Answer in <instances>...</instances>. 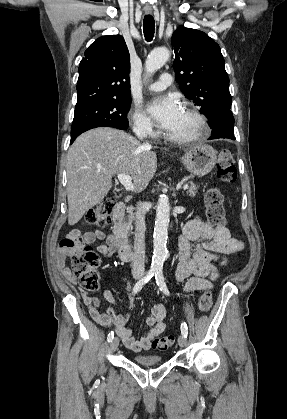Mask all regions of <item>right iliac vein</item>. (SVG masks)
<instances>
[{"instance_id": "right-iliac-vein-1", "label": "right iliac vein", "mask_w": 287, "mask_h": 419, "mask_svg": "<svg viewBox=\"0 0 287 419\" xmlns=\"http://www.w3.org/2000/svg\"><path fill=\"white\" fill-rule=\"evenodd\" d=\"M119 345V339L118 337H115L112 339L111 343H110V350L111 352H115L118 348Z\"/></svg>"}]
</instances>
